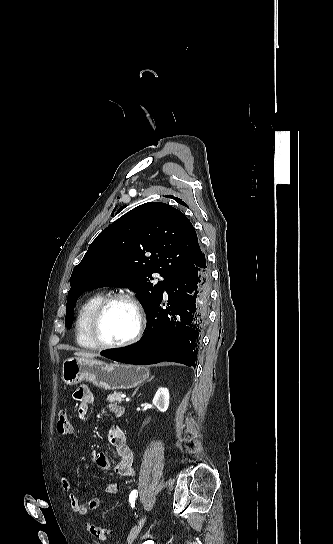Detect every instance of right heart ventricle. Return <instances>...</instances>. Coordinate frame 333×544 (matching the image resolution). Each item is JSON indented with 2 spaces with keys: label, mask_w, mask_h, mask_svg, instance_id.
<instances>
[{
  "label": "right heart ventricle",
  "mask_w": 333,
  "mask_h": 544,
  "mask_svg": "<svg viewBox=\"0 0 333 544\" xmlns=\"http://www.w3.org/2000/svg\"><path fill=\"white\" fill-rule=\"evenodd\" d=\"M105 297L104 293L97 292L88 296L80 305L76 320H75V339L76 343L86 349H96L97 347L91 341L88 334V323L90 316L99 304V302Z\"/></svg>",
  "instance_id": "e07e8e85"
}]
</instances>
